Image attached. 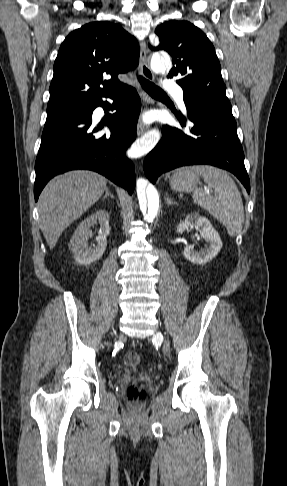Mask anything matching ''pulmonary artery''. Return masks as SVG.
<instances>
[{
  "label": "pulmonary artery",
  "instance_id": "obj_1",
  "mask_svg": "<svg viewBox=\"0 0 287 486\" xmlns=\"http://www.w3.org/2000/svg\"><path fill=\"white\" fill-rule=\"evenodd\" d=\"M163 88L165 91L175 94L179 104L184 107L183 91L176 82H174L173 80H166L164 82Z\"/></svg>",
  "mask_w": 287,
  "mask_h": 486
}]
</instances>
